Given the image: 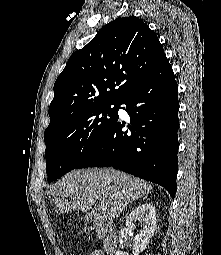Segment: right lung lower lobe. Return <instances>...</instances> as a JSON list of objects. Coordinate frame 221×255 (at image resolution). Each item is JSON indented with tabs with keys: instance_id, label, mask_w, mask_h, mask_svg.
Instances as JSON below:
<instances>
[{
	"instance_id": "1",
	"label": "right lung lower lobe",
	"mask_w": 221,
	"mask_h": 255,
	"mask_svg": "<svg viewBox=\"0 0 221 255\" xmlns=\"http://www.w3.org/2000/svg\"><path fill=\"white\" fill-rule=\"evenodd\" d=\"M130 116L108 129L76 166L113 167L163 186L176 194L178 171V86L168 59L132 87L119 102Z\"/></svg>"
}]
</instances>
